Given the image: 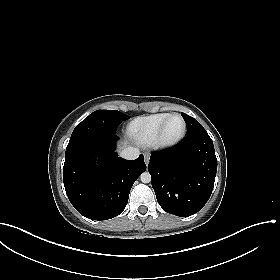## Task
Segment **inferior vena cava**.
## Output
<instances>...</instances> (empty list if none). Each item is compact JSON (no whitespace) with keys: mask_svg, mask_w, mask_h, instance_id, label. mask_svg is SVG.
I'll return each mask as SVG.
<instances>
[{"mask_svg":"<svg viewBox=\"0 0 280 280\" xmlns=\"http://www.w3.org/2000/svg\"><path fill=\"white\" fill-rule=\"evenodd\" d=\"M139 154V149L134 147H126L121 151L120 156L126 160H134L139 156Z\"/></svg>","mask_w":280,"mask_h":280,"instance_id":"obj_1","label":"inferior vena cava"}]
</instances>
